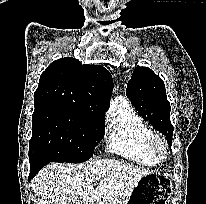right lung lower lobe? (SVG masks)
<instances>
[{
	"mask_svg": "<svg viewBox=\"0 0 206 204\" xmlns=\"http://www.w3.org/2000/svg\"><path fill=\"white\" fill-rule=\"evenodd\" d=\"M47 164L48 163L43 160H30V174L28 180H31L39 172V170Z\"/></svg>",
	"mask_w": 206,
	"mask_h": 204,
	"instance_id": "obj_1",
	"label": "right lung lower lobe"
}]
</instances>
